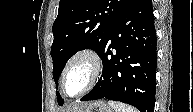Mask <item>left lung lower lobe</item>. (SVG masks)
<instances>
[{
	"label": "left lung lower lobe",
	"mask_w": 193,
	"mask_h": 112,
	"mask_svg": "<svg viewBox=\"0 0 193 112\" xmlns=\"http://www.w3.org/2000/svg\"><path fill=\"white\" fill-rule=\"evenodd\" d=\"M156 45L152 1L133 0L98 54L104 63L100 80L81 101L106 98L153 112Z\"/></svg>",
	"instance_id": "left-lung-lower-lobe-1"
}]
</instances>
